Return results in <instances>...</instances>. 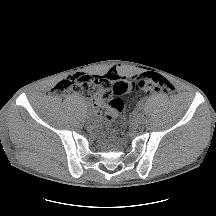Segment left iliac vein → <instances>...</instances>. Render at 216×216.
<instances>
[{"instance_id": "left-iliac-vein-1", "label": "left iliac vein", "mask_w": 216, "mask_h": 216, "mask_svg": "<svg viewBox=\"0 0 216 216\" xmlns=\"http://www.w3.org/2000/svg\"><path fill=\"white\" fill-rule=\"evenodd\" d=\"M144 119V115L142 113H138L134 118V122L136 125H141L143 124Z\"/></svg>"}]
</instances>
